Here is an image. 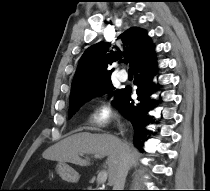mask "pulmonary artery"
<instances>
[{
	"mask_svg": "<svg viewBox=\"0 0 210 191\" xmlns=\"http://www.w3.org/2000/svg\"><path fill=\"white\" fill-rule=\"evenodd\" d=\"M118 78L120 81L125 82L128 79V75L125 71H120L118 73Z\"/></svg>",
	"mask_w": 210,
	"mask_h": 191,
	"instance_id": "e3ab8cb5",
	"label": "pulmonary artery"
}]
</instances>
